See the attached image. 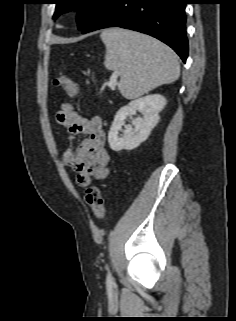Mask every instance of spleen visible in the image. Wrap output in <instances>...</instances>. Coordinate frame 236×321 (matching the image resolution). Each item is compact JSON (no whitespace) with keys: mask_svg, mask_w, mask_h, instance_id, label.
I'll use <instances>...</instances> for the list:
<instances>
[{"mask_svg":"<svg viewBox=\"0 0 236 321\" xmlns=\"http://www.w3.org/2000/svg\"><path fill=\"white\" fill-rule=\"evenodd\" d=\"M100 37L106 47L104 65L120 76L118 87L125 98H137L178 79V57L162 42L120 28L107 29Z\"/></svg>","mask_w":236,"mask_h":321,"instance_id":"obj_1","label":"spleen"}]
</instances>
